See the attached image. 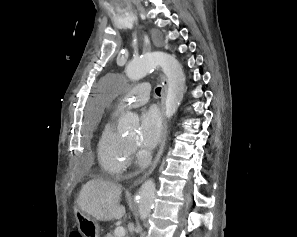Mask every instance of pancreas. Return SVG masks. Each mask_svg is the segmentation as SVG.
I'll use <instances>...</instances> for the list:
<instances>
[{"mask_svg": "<svg viewBox=\"0 0 297 237\" xmlns=\"http://www.w3.org/2000/svg\"><path fill=\"white\" fill-rule=\"evenodd\" d=\"M105 237H116L113 233H108Z\"/></svg>", "mask_w": 297, "mask_h": 237, "instance_id": "pancreas-1", "label": "pancreas"}]
</instances>
